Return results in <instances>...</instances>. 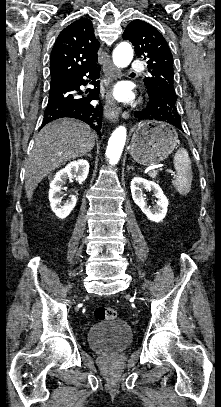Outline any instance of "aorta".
<instances>
[{
	"label": "aorta",
	"mask_w": 221,
	"mask_h": 407,
	"mask_svg": "<svg viewBox=\"0 0 221 407\" xmlns=\"http://www.w3.org/2000/svg\"><path fill=\"white\" fill-rule=\"evenodd\" d=\"M132 59L133 49L127 42H121L113 51V62L118 68L127 67ZM126 135V128L122 125L112 133L106 149V157L111 165L118 163L125 145Z\"/></svg>",
	"instance_id": "762f6f07"
}]
</instances>
